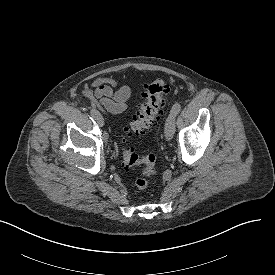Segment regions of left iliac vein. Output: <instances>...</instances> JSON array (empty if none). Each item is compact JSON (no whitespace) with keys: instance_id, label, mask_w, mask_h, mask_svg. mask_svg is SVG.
I'll list each match as a JSON object with an SVG mask.
<instances>
[{"instance_id":"obj_1","label":"left iliac vein","mask_w":275,"mask_h":275,"mask_svg":"<svg viewBox=\"0 0 275 275\" xmlns=\"http://www.w3.org/2000/svg\"><path fill=\"white\" fill-rule=\"evenodd\" d=\"M175 132V115L170 113L165 123V137L167 140L172 139Z\"/></svg>"}]
</instances>
